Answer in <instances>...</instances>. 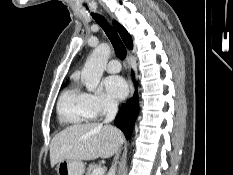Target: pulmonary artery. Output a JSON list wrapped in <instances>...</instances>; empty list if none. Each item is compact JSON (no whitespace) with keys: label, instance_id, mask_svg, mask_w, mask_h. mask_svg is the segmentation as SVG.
Segmentation results:
<instances>
[{"label":"pulmonary artery","instance_id":"e3ab8cb5","mask_svg":"<svg viewBox=\"0 0 233 175\" xmlns=\"http://www.w3.org/2000/svg\"><path fill=\"white\" fill-rule=\"evenodd\" d=\"M106 70L109 73H117L121 70V64L117 59H112L108 62Z\"/></svg>","mask_w":233,"mask_h":175}]
</instances>
